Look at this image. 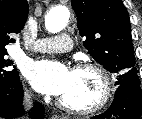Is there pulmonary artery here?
Returning a JSON list of instances; mask_svg holds the SVG:
<instances>
[{"instance_id":"obj_1","label":"pulmonary artery","mask_w":142,"mask_h":119,"mask_svg":"<svg viewBox=\"0 0 142 119\" xmlns=\"http://www.w3.org/2000/svg\"><path fill=\"white\" fill-rule=\"evenodd\" d=\"M72 48V41L69 35L61 34L57 37L44 38L36 41L32 49L43 53H62Z\"/></svg>"}]
</instances>
